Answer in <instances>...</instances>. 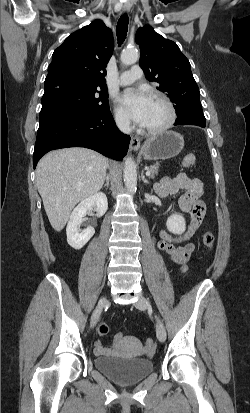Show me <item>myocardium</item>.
<instances>
[{"label":"myocardium","mask_w":250,"mask_h":413,"mask_svg":"<svg viewBox=\"0 0 250 413\" xmlns=\"http://www.w3.org/2000/svg\"><path fill=\"white\" fill-rule=\"evenodd\" d=\"M152 99H155L157 101H159L160 103H162L167 111H168V119L167 121L161 125L160 127L157 128H145L143 127V132H145L146 134L149 135H159L162 134L164 132H166L167 130H169L175 123L176 118H177V112H176V108L174 106V104L172 103V101L164 94L160 93V92H154L151 96Z\"/></svg>","instance_id":"1"}]
</instances>
